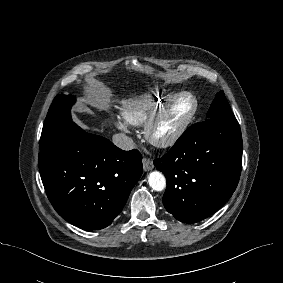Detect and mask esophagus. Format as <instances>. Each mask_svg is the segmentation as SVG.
Here are the masks:
<instances>
[{
    "label": "esophagus",
    "mask_w": 283,
    "mask_h": 283,
    "mask_svg": "<svg viewBox=\"0 0 283 283\" xmlns=\"http://www.w3.org/2000/svg\"><path fill=\"white\" fill-rule=\"evenodd\" d=\"M142 163H143V169L144 171H150L153 169L154 165H153V161L150 158L144 157L142 159Z\"/></svg>",
    "instance_id": "34e87169"
}]
</instances>
